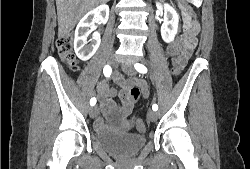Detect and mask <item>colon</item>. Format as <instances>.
Returning a JSON list of instances; mask_svg holds the SVG:
<instances>
[{
    "mask_svg": "<svg viewBox=\"0 0 250 169\" xmlns=\"http://www.w3.org/2000/svg\"><path fill=\"white\" fill-rule=\"evenodd\" d=\"M180 6L185 10V15H189V19H194L193 6L188 3V0H179ZM73 34H66V36H60L56 38V49L59 54L61 61L70 69L75 71L77 69V59L73 51L72 39ZM191 41L194 42V38L191 36ZM170 74H173V77H178L180 74V69L177 66L170 69ZM131 98L134 101H138L140 98V90L133 89L130 92ZM136 127L138 131H145V125L141 120L136 121Z\"/></svg>",
    "mask_w": 250,
    "mask_h": 169,
    "instance_id": "obj_1",
    "label": "colon"
}]
</instances>
